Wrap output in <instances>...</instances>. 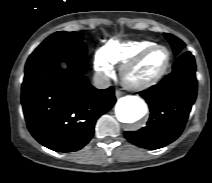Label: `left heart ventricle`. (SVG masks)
Listing matches in <instances>:
<instances>
[{
	"mask_svg": "<svg viewBox=\"0 0 212 183\" xmlns=\"http://www.w3.org/2000/svg\"><path fill=\"white\" fill-rule=\"evenodd\" d=\"M168 54L164 48H157L150 52L128 74V80L133 83L144 82L160 72L167 62Z\"/></svg>",
	"mask_w": 212,
	"mask_h": 183,
	"instance_id": "1",
	"label": "left heart ventricle"
}]
</instances>
